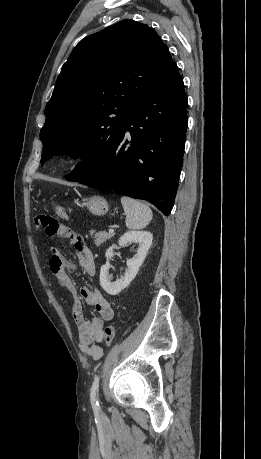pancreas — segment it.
Instances as JSON below:
<instances>
[{"label":"pancreas","instance_id":"cf45deb5","mask_svg":"<svg viewBox=\"0 0 261 459\" xmlns=\"http://www.w3.org/2000/svg\"><path fill=\"white\" fill-rule=\"evenodd\" d=\"M90 234L92 236L94 235V238H95L94 243L96 246L101 245L102 243L106 242L108 239L114 236V233H107L105 231L95 232L94 230H91Z\"/></svg>","mask_w":261,"mask_h":459}]
</instances>
